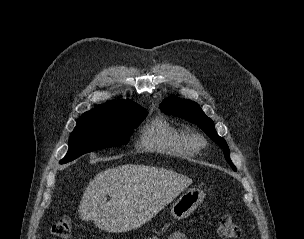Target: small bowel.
<instances>
[{"label": "small bowel", "mask_w": 304, "mask_h": 239, "mask_svg": "<svg viewBox=\"0 0 304 239\" xmlns=\"http://www.w3.org/2000/svg\"><path fill=\"white\" fill-rule=\"evenodd\" d=\"M169 239H188L187 235L183 232L177 231L174 232Z\"/></svg>", "instance_id": "c3829d8e"}]
</instances>
